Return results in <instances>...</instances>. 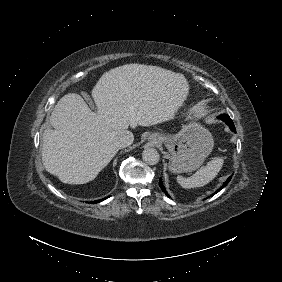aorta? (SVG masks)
Wrapping results in <instances>:
<instances>
[{"mask_svg":"<svg viewBox=\"0 0 282 282\" xmlns=\"http://www.w3.org/2000/svg\"><path fill=\"white\" fill-rule=\"evenodd\" d=\"M142 159L148 165H155L159 162L160 155L154 148H146L142 152Z\"/></svg>","mask_w":282,"mask_h":282,"instance_id":"1","label":"aorta"}]
</instances>
